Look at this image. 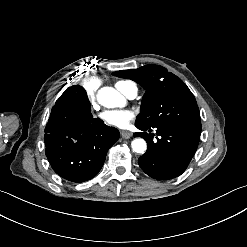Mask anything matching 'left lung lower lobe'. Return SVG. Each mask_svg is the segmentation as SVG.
<instances>
[{
    "label": "left lung lower lobe",
    "instance_id": "obj_1",
    "mask_svg": "<svg viewBox=\"0 0 247 247\" xmlns=\"http://www.w3.org/2000/svg\"><path fill=\"white\" fill-rule=\"evenodd\" d=\"M137 127V126H136ZM151 132V128L137 127ZM154 134L137 132L134 136L147 141L146 153L138 159L141 169L157 180L173 179L181 175L193 158L200 139V134L179 127H157Z\"/></svg>",
    "mask_w": 247,
    "mask_h": 247
}]
</instances>
